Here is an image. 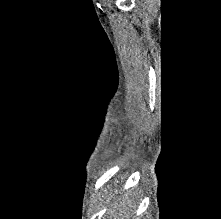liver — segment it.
Wrapping results in <instances>:
<instances>
[{
    "label": "liver",
    "instance_id": "liver-1",
    "mask_svg": "<svg viewBox=\"0 0 221 219\" xmlns=\"http://www.w3.org/2000/svg\"><path fill=\"white\" fill-rule=\"evenodd\" d=\"M130 195V192L125 193L111 205L107 211V214L110 216V218L113 217L114 219H131V217L136 212V203ZM112 198L113 196L110 195L107 198L106 203H109Z\"/></svg>",
    "mask_w": 221,
    "mask_h": 219
}]
</instances>
